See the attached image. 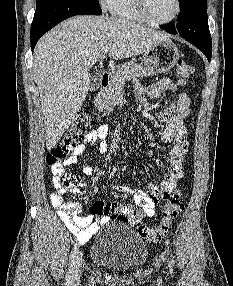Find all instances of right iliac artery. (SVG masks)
<instances>
[{"mask_svg": "<svg viewBox=\"0 0 233 286\" xmlns=\"http://www.w3.org/2000/svg\"><path fill=\"white\" fill-rule=\"evenodd\" d=\"M78 252H79L78 245L75 244V246L73 247V250L71 252V255H70L69 268H68V272L66 275V284H69L71 279H72V274H73L75 261H76Z\"/></svg>", "mask_w": 233, "mask_h": 286, "instance_id": "right-iliac-artery-1", "label": "right iliac artery"}]
</instances>
